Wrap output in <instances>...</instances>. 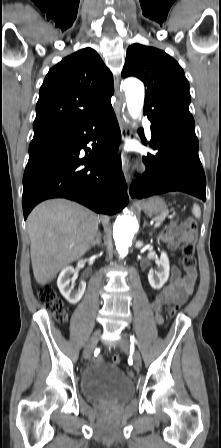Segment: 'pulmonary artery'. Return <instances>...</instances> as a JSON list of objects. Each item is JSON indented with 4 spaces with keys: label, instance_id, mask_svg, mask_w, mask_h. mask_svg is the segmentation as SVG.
I'll list each match as a JSON object with an SVG mask.
<instances>
[{
    "label": "pulmonary artery",
    "instance_id": "e3ab8cb5",
    "mask_svg": "<svg viewBox=\"0 0 221 448\" xmlns=\"http://www.w3.org/2000/svg\"><path fill=\"white\" fill-rule=\"evenodd\" d=\"M145 130H146L147 136L150 138L151 137V127H150L149 121H145Z\"/></svg>",
    "mask_w": 221,
    "mask_h": 448
}]
</instances>
